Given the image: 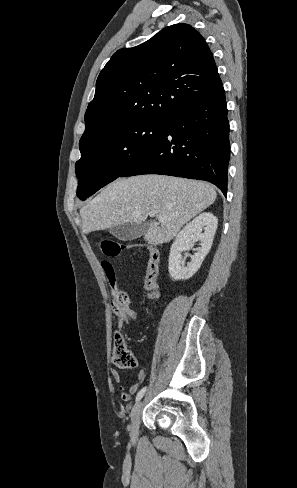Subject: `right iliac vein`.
Segmentation results:
<instances>
[{
	"instance_id": "1",
	"label": "right iliac vein",
	"mask_w": 297,
	"mask_h": 488,
	"mask_svg": "<svg viewBox=\"0 0 297 488\" xmlns=\"http://www.w3.org/2000/svg\"><path fill=\"white\" fill-rule=\"evenodd\" d=\"M143 409V403L138 402L134 405L131 411V423L129 426L130 438L133 442L137 440L138 431H139V424H140V416Z\"/></svg>"
}]
</instances>
